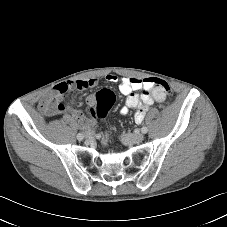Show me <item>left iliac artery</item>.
Masks as SVG:
<instances>
[{
    "instance_id": "left-iliac-artery-1",
    "label": "left iliac artery",
    "mask_w": 227,
    "mask_h": 227,
    "mask_svg": "<svg viewBox=\"0 0 227 227\" xmlns=\"http://www.w3.org/2000/svg\"><path fill=\"white\" fill-rule=\"evenodd\" d=\"M141 131H142V133H147V131H148V128L146 127V126H143L142 128H141Z\"/></svg>"
}]
</instances>
